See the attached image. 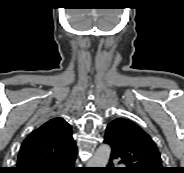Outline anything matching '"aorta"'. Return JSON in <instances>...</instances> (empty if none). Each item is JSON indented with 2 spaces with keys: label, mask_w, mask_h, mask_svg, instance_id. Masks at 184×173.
I'll use <instances>...</instances> for the list:
<instances>
[{
  "label": "aorta",
  "mask_w": 184,
  "mask_h": 173,
  "mask_svg": "<svg viewBox=\"0 0 184 173\" xmlns=\"http://www.w3.org/2000/svg\"><path fill=\"white\" fill-rule=\"evenodd\" d=\"M111 154V147L108 144H102L95 151L88 162L89 167H106Z\"/></svg>",
  "instance_id": "1"
}]
</instances>
